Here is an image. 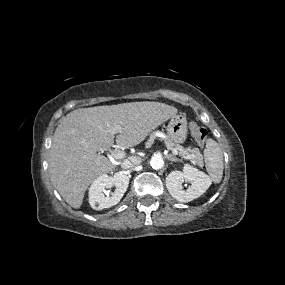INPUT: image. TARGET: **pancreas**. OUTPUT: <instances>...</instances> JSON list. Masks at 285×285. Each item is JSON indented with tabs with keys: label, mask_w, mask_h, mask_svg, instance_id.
I'll return each mask as SVG.
<instances>
[{
	"label": "pancreas",
	"mask_w": 285,
	"mask_h": 285,
	"mask_svg": "<svg viewBox=\"0 0 285 285\" xmlns=\"http://www.w3.org/2000/svg\"><path fill=\"white\" fill-rule=\"evenodd\" d=\"M156 132H153L151 135H150V138L148 140V145H151L155 138H156ZM166 143V146L169 150H178L179 151V155L182 157V158H185V159H191L193 160L194 162H196L198 165H202L203 164V155L201 154V152L199 151V149L195 148V149H190V148H184L182 147L181 145H178V144H175L173 142H170L169 140H166L165 141Z\"/></svg>",
	"instance_id": "1"
}]
</instances>
